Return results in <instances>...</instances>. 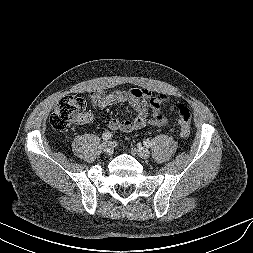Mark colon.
Returning a JSON list of instances; mask_svg holds the SVG:
<instances>
[{
  "instance_id": "1",
  "label": "colon",
  "mask_w": 253,
  "mask_h": 253,
  "mask_svg": "<svg viewBox=\"0 0 253 253\" xmlns=\"http://www.w3.org/2000/svg\"><path fill=\"white\" fill-rule=\"evenodd\" d=\"M87 102L83 97L68 95L58 100L50 117V124L56 130H66L84 119ZM178 124L182 138L190 135L191 112L181 103L176 104Z\"/></svg>"
}]
</instances>
